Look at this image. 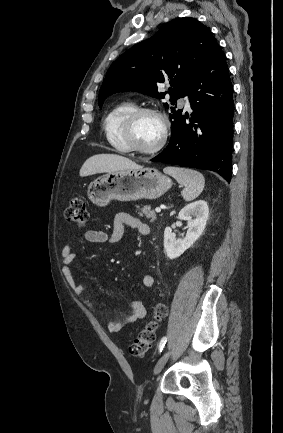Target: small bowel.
<instances>
[{
	"mask_svg": "<svg viewBox=\"0 0 283 433\" xmlns=\"http://www.w3.org/2000/svg\"><path fill=\"white\" fill-rule=\"evenodd\" d=\"M125 227H130L139 231L143 235H148L150 233V227L143 223L137 217H134L125 212H119L115 215L113 220V226L111 232L108 233L104 230H87L84 232L83 236L87 242L90 243H104L109 242L111 244H116L120 242L124 236ZM62 257V273L74 294L78 299H80L88 308L95 310V305L89 299L86 294L83 285L78 284L73 275L71 264L75 259V254L71 248L70 244L64 245L61 250ZM142 286L145 288H151L154 284V277L150 274H146L141 280ZM131 312L123 320H109L107 323V328L109 332L116 333L123 329L125 325L132 324L137 320H140L146 315V308L140 300H134L131 302Z\"/></svg>",
	"mask_w": 283,
	"mask_h": 433,
	"instance_id": "obj_1",
	"label": "small bowel"
}]
</instances>
